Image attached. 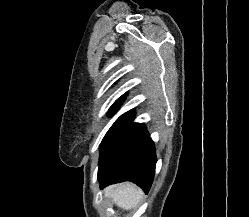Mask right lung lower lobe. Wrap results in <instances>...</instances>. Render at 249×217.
<instances>
[{
    "mask_svg": "<svg viewBox=\"0 0 249 217\" xmlns=\"http://www.w3.org/2000/svg\"><path fill=\"white\" fill-rule=\"evenodd\" d=\"M119 98L109 113L114 114L125 100ZM135 112L120 116L100 145L98 179L100 187L131 181L148 193L155 173V146L144 124L133 123Z\"/></svg>",
    "mask_w": 249,
    "mask_h": 217,
    "instance_id": "1",
    "label": "right lung lower lobe"
}]
</instances>
